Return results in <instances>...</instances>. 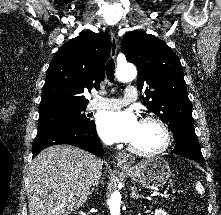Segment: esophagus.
Masks as SVG:
<instances>
[{"mask_svg":"<svg viewBox=\"0 0 221 215\" xmlns=\"http://www.w3.org/2000/svg\"><path fill=\"white\" fill-rule=\"evenodd\" d=\"M111 57L116 59L117 52H118V40L115 34L111 31ZM117 164L122 168H129L134 163V158L130 154L127 153H119L116 157Z\"/></svg>","mask_w":221,"mask_h":215,"instance_id":"1","label":"esophagus"}]
</instances>
